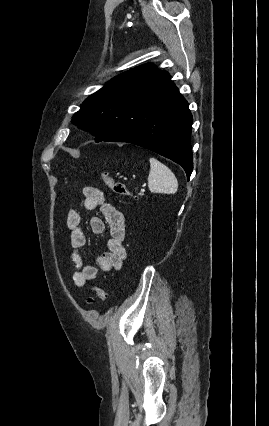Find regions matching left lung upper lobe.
Returning <instances> with one entry per match:
<instances>
[{
  "instance_id": "1",
  "label": "left lung upper lobe",
  "mask_w": 269,
  "mask_h": 426,
  "mask_svg": "<svg viewBox=\"0 0 269 426\" xmlns=\"http://www.w3.org/2000/svg\"><path fill=\"white\" fill-rule=\"evenodd\" d=\"M162 71L152 64L131 69L111 79L89 96L74 114L71 122L94 135L95 141L108 138L132 96L154 81Z\"/></svg>"
}]
</instances>
